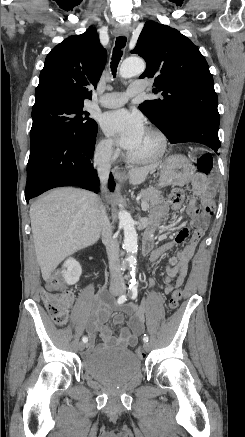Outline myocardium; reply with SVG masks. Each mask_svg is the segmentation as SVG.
Segmentation results:
<instances>
[{
	"instance_id": "myocardium-1",
	"label": "myocardium",
	"mask_w": 245,
	"mask_h": 437,
	"mask_svg": "<svg viewBox=\"0 0 245 437\" xmlns=\"http://www.w3.org/2000/svg\"><path fill=\"white\" fill-rule=\"evenodd\" d=\"M147 132L157 137L159 141L158 149L152 155L147 157H135L129 154L128 158L131 162L138 164L153 163L162 159L167 153L169 141L166 134L161 129L156 127H148Z\"/></svg>"
}]
</instances>
